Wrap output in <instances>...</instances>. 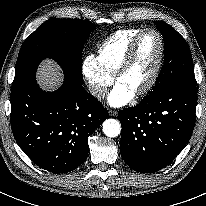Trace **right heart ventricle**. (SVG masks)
<instances>
[{"label": "right heart ventricle", "instance_id": "obj_1", "mask_svg": "<svg viewBox=\"0 0 206 206\" xmlns=\"http://www.w3.org/2000/svg\"><path fill=\"white\" fill-rule=\"evenodd\" d=\"M142 30L144 29L126 28L118 30L101 44L96 58L107 73L115 75L131 42Z\"/></svg>", "mask_w": 206, "mask_h": 206}]
</instances>
